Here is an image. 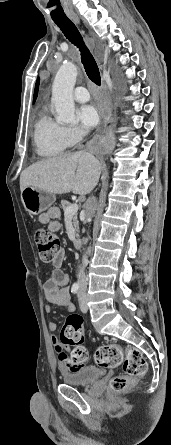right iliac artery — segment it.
<instances>
[{
    "mask_svg": "<svg viewBox=\"0 0 171 445\" xmlns=\"http://www.w3.org/2000/svg\"><path fill=\"white\" fill-rule=\"evenodd\" d=\"M78 289H79V286L77 284H73L71 287V292L75 294L78 292Z\"/></svg>",
    "mask_w": 171,
    "mask_h": 445,
    "instance_id": "1",
    "label": "right iliac artery"
}]
</instances>
